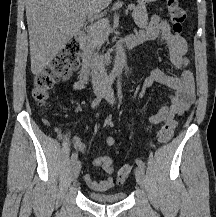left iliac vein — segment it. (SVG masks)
<instances>
[{
	"label": "left iliac vein",
	"instance_id": "1",
	"mask_svg": "<svg viewBox=\"0 0 216 217\" xmlns=\"http://www.w3.org/2000/svg\"><path fill=\"white\" fill-rule=\"evenodd\" d=\"M105 99L109 102V103H113L114 102V94L113 91L110 90ZM135 177H136V181L137 183L143 187L145 184V173H144V169L142 167H137L135 170Z\"/></svg>",
	"mask_w": 216,
	"mask_h": 217
}]
</instances>
